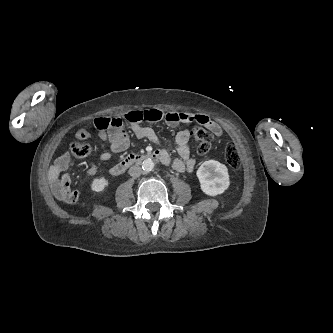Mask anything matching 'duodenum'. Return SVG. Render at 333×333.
<instances>
[{
    "label": "duodenum",
    "mask_w": 333,
    "mask_h": 333,
    "mask_svg": "<svg viewBox=\"0 0 333 333\" xmlns=\"http://www.w3.org/2000/svg\"><path fill=\"white\" fill-rule=\"evenodd\" d=\"M146 160H159L163 162V157L158 151L148 153H132L116 163L111 168V173L113 175H121L132 165L140 164Z\"/></svg>",
    "instance_id": "obj_1"
}]
</instances>
